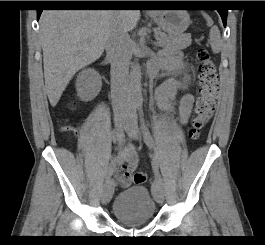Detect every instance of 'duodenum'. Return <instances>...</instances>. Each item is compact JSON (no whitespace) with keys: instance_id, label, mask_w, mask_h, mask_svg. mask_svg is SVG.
<instances>
[{"instance_id":"1","label":"duodenum","mask_w":265,"mask_h":245,"mask_svg":"<svg viewBox=\"0 0 265 245\" xmlns=\"http://www.w3.org/2000/svg\"><path fill=\"white\" fill-rule=\"evenodd\" d=\"M153 73H154V71L152 69H150L149 67H146V75L148 78H152Z\"/></svg>"}]
</instances>
